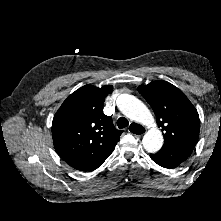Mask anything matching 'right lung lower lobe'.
<instances>
[{
	"mask_svg": "<svg viewBox=\"0 0 221 221\" xmlns=\"http://www.w3.org/2000/svg\"><path fill=\"white\" fill-rule=\"evenodd\" d=\"M104 161L105 160L80 165V166L76 167L75 169L80 170V171H93L96 168H98Z\"/></svg>",
	"mask_w": 221,
	"mask_h": 221,
	"instance_id": "1",
	"label": "right lung lower lobe"
}]
</instances>
